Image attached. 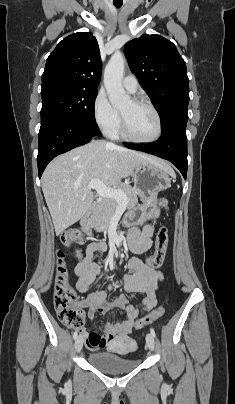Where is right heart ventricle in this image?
<instances>
[{
    "mask_svg": "<svg viewBox=\"0 0 235 404\" xmlns=\"http://www.w3.org/2000/svg\"><path fill=\"white\" fill-rule=\"evenodd\" d=\"M111 136L113 138H117V139L124 138L123 135H122L120 126L116 129V131L114 133L111 134Z\"/></svg>",
    "mask_w": 235,
    "mask_h": 404,
    "instance_id": "right-heart-ventricle-1",
    "label": "right heart ventricle"
}]
</instances>
